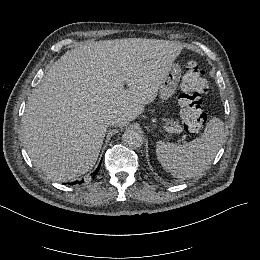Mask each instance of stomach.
<instances>
[{
  "mask_svg": "<svg viewBox=\"0 0 260 260\" xmlns=\"http://www.w3.org/2000/svg\"><path fill=\"white\" fill-rule=\"evenodd\" d=\"M181 78V70L179 68L171 69L165 76L160 90L159 101L167 102L176 93Z\"/></svg>",
  "mask_w": 260,
  "mask_h": 260,
  "instance_id": "0dacf381",
  "label": "stomach"
}]
</instances>
